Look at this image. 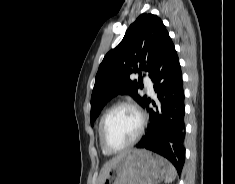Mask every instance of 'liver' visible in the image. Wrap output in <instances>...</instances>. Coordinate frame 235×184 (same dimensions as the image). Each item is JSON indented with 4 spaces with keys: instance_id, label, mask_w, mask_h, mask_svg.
<instances>
[{
    "instance_id": "obj_1",
    "label": "liver",
    "mask_w": 235,
    "mask_h": 184,
    "mask_svg": "<svg viewBox=\"0 0 235 184\" xmlns=\"http://www.w3.org/2000/svg\"><path fill=\"white\" fill-rule=\"evenodd\" d=\"M127 154H128V152H127ZM124 156H126V154H120V156H116V158H112V160H110V162H107V164H104V166L99 174L98 184H103L105 178H107V176H108V172H109L110 168H112V166H114V164H117V162H120V160H122V158H124Z\"/></svg>"
}]
</instances>
